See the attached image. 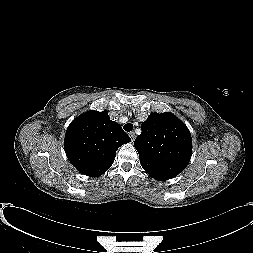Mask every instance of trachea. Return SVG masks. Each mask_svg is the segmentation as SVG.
Returning <instances> with one entry per match:
<instances>
[{
    "mask_svg": "<svg viewBox=\"0 0 253 253\" xmlns=\"http://www.w3.org/2000/svg\"><path fill=\"white\" fill-rule=\"evenodd\" d=\"M123 128L125 131L130 132L133 129V125L131 123H127L123 126Z\"/></svg>",
    "mask_w": 253,
    "mask_h": 253,
    "instance_id": "3493384b",
    "label": "trachea"
}]
</instances>
